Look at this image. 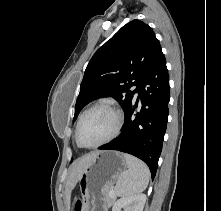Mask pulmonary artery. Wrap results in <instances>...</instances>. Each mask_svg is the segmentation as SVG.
Instances as JSON below:
<instances>
[{
  "mask_svg": "<svg viewBox=\"0 0 221 211\" xmlns=\"http://www.w3.org/2000/svg\"><path fill=\"white\" fill-rule=\"evenodd\" d=\"M136 96L138 97V96H139V94L137 93V94H136Z\"/></svg>",
  "mask_w": 221,
  "mask_h": 211,
  "instance_id": "e3ab8cb5",
  "label": "pulmonary artery"
}]
</instances>
